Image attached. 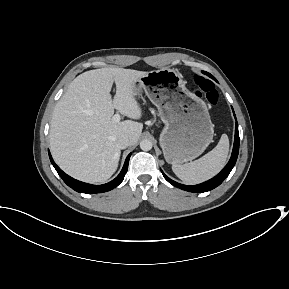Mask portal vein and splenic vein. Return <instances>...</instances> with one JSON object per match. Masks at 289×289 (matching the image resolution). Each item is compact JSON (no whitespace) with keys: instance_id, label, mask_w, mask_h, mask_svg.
<instances>
[{"instance_id":"obj_1","label":"portal vein and splenic vein","mask_w":289,"mask_h":289,"mask_svg":"<svg viewBox=\"0 0 289 289\" xmlns=\"http://www.w3.org/2000/svg\"><path fill=\"white\" fill-rule=\"evenodd\" d=\"M121 119V116L120 114L116 113L113 117H112V120L113 122H119Z\"/></svg>"}]
</instances>
